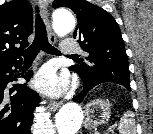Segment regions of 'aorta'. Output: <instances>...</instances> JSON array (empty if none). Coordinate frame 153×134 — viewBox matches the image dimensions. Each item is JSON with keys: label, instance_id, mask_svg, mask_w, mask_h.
I'll return each mask as SVG.
<instances>
[{"label": "aorta", "instance_id": "762f6f07", "mask_svg": "<svg viewBox=\"0 0 153 134\" xmlns=\"http://www.w3.org/2000/svg\"><path fill=\"white\" fill-rule=\"evenodd\" d=\"M53 28L59 36H64L75 28V19L67 10H57L53 15ZM83 121V111L74 102L63 105L56 115L58 134H76Z\"/></svg>", "mask_w": 153, "mask_h": 134}]
</instances>
